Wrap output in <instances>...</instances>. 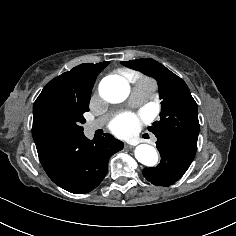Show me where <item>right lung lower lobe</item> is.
<instances>
[{"label": "right lung lower lobe", "instance_id": "obj_1", "mask_svg": "<svg viewBox=\"0 0 236 236\" xmlns=\"http://www.w3.org/2000/svg\"><path fill=\"white\" fill-rule=\"evenodd\" d=\"M123 145L109 134L89 140L82 133L53 138L36 144V147L50 179L71 193L82 194L101 183L108 170L109 158L122 150Z\"/></svg>", "mask_w": 236, "mask_h": 236}]
</instances>
